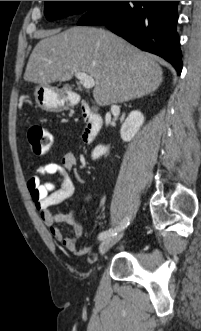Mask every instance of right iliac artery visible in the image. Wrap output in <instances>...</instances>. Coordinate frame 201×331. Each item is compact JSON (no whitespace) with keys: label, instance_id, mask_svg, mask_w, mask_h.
<instances>
[{"label":"right iliac artery","instance_id":"obj_1","mask_svg":"<svg viewBox=\"0 0 201 331\" xmlns=\"http://www.w3.org/2000/svg\"><path fill=\"white\" fill-rule=\"evenodd\" d=\"M129 223H130V218L128 216H126L123 219V222L118 227L101 232L98 236V239L99 240H104V239H106L110 236L116 235L117 232H119L120 230L127 227L129 225Z\"/></svg>","mask_w":201,"mask_h":331}]
</instances>
